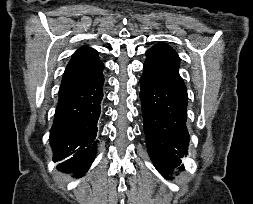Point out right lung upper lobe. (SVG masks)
<instances>
[{
	"label": "right lung upper lobe",
	"instance_id": "obj_1",
	"mask_svg": "<svg viewBox=\"0 0 253 204\" xmlns=\"http://www.w3.org/2000/svg\"><path fill=\"white\" fill-rule=\"evenodd\" d=\"M89 50H91V48L81 47V48H80L79 50H77V51L75 52V54L72 56L71 61H72L73 59H75L76 57H78L79 55H81V54H83L84 52L89 51Z\"/></svg>",
	"mask_w": 253,
	"mask_h": 204
}]
</instances>
